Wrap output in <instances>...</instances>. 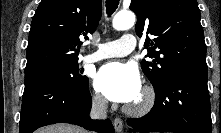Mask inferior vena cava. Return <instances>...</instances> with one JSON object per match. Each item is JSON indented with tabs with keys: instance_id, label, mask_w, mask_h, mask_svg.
I'll return each mask as SVG.
<instances>
[{
	"instance_id": "602c4592",
	"label": "inferior vena cava",
	"mask_w": 221,
	"mask_h": 133,
	"mask_svg": "<svg viewBox=\"0 0 221 133\" xmlns=\"http://www.w3.org/2000/svg\"><path fill=\"white\" fill-rule=\"evenodd\" d=\"M108 101L102 96H96L92 101L90 117L92 119H105L107 116Z\"/></svg>"
}]
</instances>
